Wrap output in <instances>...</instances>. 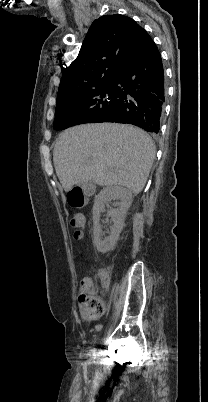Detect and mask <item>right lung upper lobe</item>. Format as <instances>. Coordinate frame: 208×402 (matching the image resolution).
Wrapping results in <instances>:
<instances>
[{
  "label": "right lung upper lobe",
  "instance_id": "right-lung-upper-lobe-1",
  "mask_svg": "<svg viewBox=\"0 0 208 402\" xmlns=\"http://www.w3.org/2000/svg\"><path fill=\"white\" fill-rule=\"evenodd\" d=\"M148 34L133 19L121 14L96 19L77 58L62 75L58 94L101 80H115Z\"/></svg>",
  "mask_w": 208,
  "mask_h": 402
}]
</instances>
